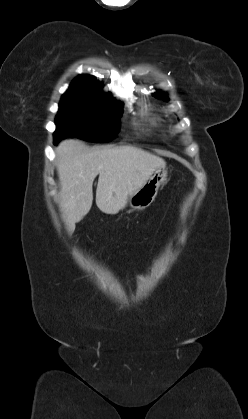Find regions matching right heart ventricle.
Listing matches in <instances>:
<instances>
[{"label":"right heart ventricle","instance_id":"e07e8e85","mask_svg":"<svg viewBox=\"0 0 248 419\" xmlns=\"http://www.w3.org/2000/svg\"><path fill=\"white\" fill-rule=\"evenodd\" d=\"M152 122H153V123H156V122H158V119H157V118H153V119H152Z\"/></svg>","mask_w":248,"mask_h":419}]
</instances>
